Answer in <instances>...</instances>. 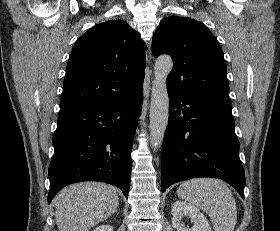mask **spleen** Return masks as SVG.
I'll return each instance as SVG.
<instances>
[{
    "label": "spleen",
    "instance_id": "3e777b00",
    "mask_svg": "<svg viewBox=\"0 0 280 231\" xmlns=\"http://www.w3.org/2000/svg\"><path fill=\"white\" fill-rule=\"evenodd\" d=\"M178 197L208 213L215 231H233L237 221L236 201L224 181L212 177H195L183 181Z\"/></svg>",
    "mask_w": 280,
    "mask_h": 231
}]
</instances>
